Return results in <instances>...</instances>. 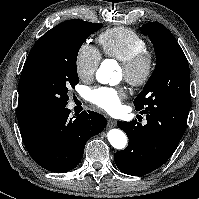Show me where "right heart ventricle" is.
Returning <instances> with one entry per match:
<instances>
[{
	"mask_svg": "<svg viewBox=\"0 0 199 199\" xmlns=\"http://www.w3.org/2000/svg\"><path fill=\"white\" fill-rule=\"evenodd\" d=\"M98 42L107 57L119 61L146 50L145 40L126 27H114L102 32L98 37Z\"/></svg>",
	"mask_w": 199,
	"mask_h": 199,
	"instance_id": "obj_1",
	"label": "right heart ventricle"
}]
</instances>
